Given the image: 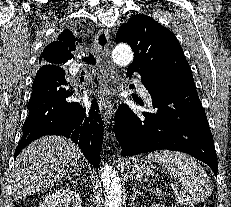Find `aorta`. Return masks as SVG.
I'll list each match as a JSON object with an SVG mask.
<instances>
[{
    "label": "aorta",
    "instance_id": "obj_1",
    "mask_svg": "<svg viewBox=\"0 0 231 207\" xmlns=\"http://www.w3.org/2000/svg\"><path fill=\"white\" fill-rule=\"evenodd\" d=\"M113 61L122 67L129 66L134 58L131 47L127 44H118L112 53ZM101 181L105 192V207H121L122 184L118 172L110 165L101 167Z\"/></svg>",
    "mask_w": 231,
    "mask_h": 207
}]
</instances>
